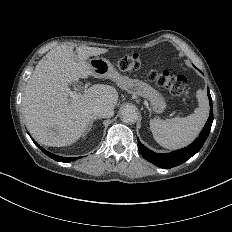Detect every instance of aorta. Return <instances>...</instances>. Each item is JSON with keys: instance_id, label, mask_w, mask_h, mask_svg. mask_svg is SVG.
<instances>
[{"instance_id": "1", "label": "aorta", "mask_w": 232, "mask_h": 232, "mask_svg": "<svg viewBox=\"0 0 232 232\" xmlns=\"http://www.w3.org/2000/svg\"><path fill=\"white\" fill-rule=\"evenodd\" d=\"M122 121L125 123H134L138 119V113L134 107H127L122 110Z\"/></svg>"}]
</instances>
